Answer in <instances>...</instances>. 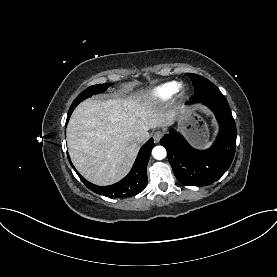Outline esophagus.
<instances>
[{"label": "esophagus", "mask_w": 277, "mask_h": 277, "mask_svg": "<svg viewBox=\"0 0 277 277\" xmlns=\"http://www.w3.org/2000/svg\"><path fill=\"white\" fill-rule=\"evenodd\" d=\"M163 134L164 133L162 131H160V130L154 132V134H153L154 141L156 143H158L160 141V139L162 138Z\"/></svg>", "instance_id": "1"}]
</instances>
